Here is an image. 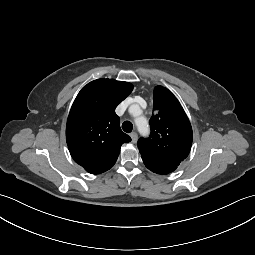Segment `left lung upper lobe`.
Masks as SVG:
<instances>
[{
	"mask_svg": "<svg viewBox=\"0 0 255 255\" xmlns=\"http://www.w3.org/2000/svg\"><path fill=\"white\" fill-rule=\"evenodd\" d=\"M149 138H140L138 148L145 166L175 170L188 156L192 145V127L177 98L165 87L154 90Z\"/></svg>",
	"mask_w": 255,
	"mask_h": 255,
	"instance_id": "5c2ea615",
	"label": "left lung upper lobe"
}]
</instances>
